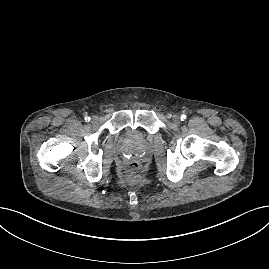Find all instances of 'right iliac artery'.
Instances as JSON below:
<instances>
[{
  "label": "right iliac artery",
  "instance_id": "82829eb1",
  "mask_svg": "<svg viewBox=\"0 0 269 269\" xmlns=\"http://www.w3.org/2000/svg\"><path fill=\"white\" fill-rule=\"evenodd\" d=\"M90 119H91V118H90V117H88V116H86V117H85V121H86V122H89V121H90Z\"/></svg>",
  "mask_w": 269,
  "mask_h": 269
}]
</instances>
